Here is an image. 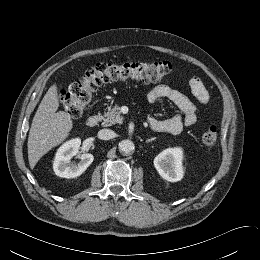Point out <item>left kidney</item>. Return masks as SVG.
Here are the masks:
<instances>
[{
    "mask_svg": "<svg viewBox=\"0 0 260 260\" xmlns=\"http://www.w3.org/2000/svg\"><path fill=\"white\" fill-rule=\"evenodd\" d=\"M183 151L181 148L163 150L154 159V166L159 175L170 182H177L183 178Z\"/></svg>",
    "mask_w": 260,
    "mask_h": 260,
    "instance_id": "obj_1",
    "label": "left kidney"
}]
</instances>
